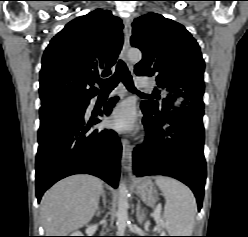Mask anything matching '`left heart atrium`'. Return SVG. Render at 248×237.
<instances>
[{"label": "left heart atrium", "mask_w": 248, "mask_h": 237, "mask_svg": "<svg viewBox=\"0 0 248 237\" xmlns=\"http://www.w3.org/2000/svg\"><path fill=\"white\" fill-rule=\"evenodd\" d=\"M107 125L122 133L134 131L137 126L133 106L127 102L118 105L109 115Z\"/></svg>", "instance_id": "obj_1"}]
</instances>
